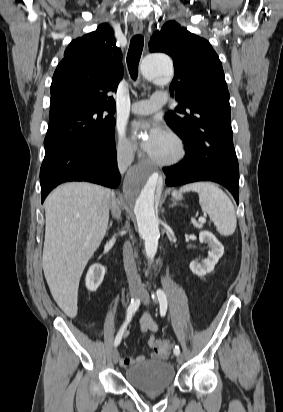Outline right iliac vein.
I'll return each instance as SVG.
<instances>
[{
	"mask_svg": "<svg viewBox=\"0 0 283 412\" xmlns=\"http://www.w3.org/2000/svg\"><path fill=\"white\" fill-rule=\"evenodd\" d=\"M139 294H140V290L137 289V288H131V289L129 290V295H130L131 298H135V297H137ZM111 356H112L113 362L116 364V363L118 362V359H119V352H118V350H117V349H113V350H112V353H111Z\"/></svg>",
	"mask_w": 283,
	"mask_h": 412,
	"instance_id": "1",
	"label": "right iliac vein"
}]
</instances>
